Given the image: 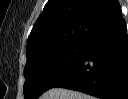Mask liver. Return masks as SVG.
Listing matches in <instances>:
<instances>
[{
    "label": "liver",
    "mask_w": 128,
    "mask_h": 99,
    "mask_svg": "<svg viewBox=\"0 0 128 99\" xmlns=\"http://www.w3.org/2000/svg\"><path fill=\"white\" fill-rule=\"evenodd\" d=\"M40 99H95L81 92L64 88H53L45 92Z\"/></svg>",
    "instance_id": "liver-1"
}]
</instances>
